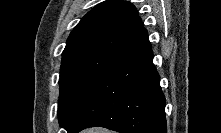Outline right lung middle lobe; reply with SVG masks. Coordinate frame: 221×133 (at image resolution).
I'll list each match as a JSON object with an SVG mask.
<instances>
[{
  "instance_id": "obj_1",
  "label": "right lung middle lobe",
  "mask_w": 221,
  "mask_h": 133,
  "mask_svg": "<svg viewBox=\"0 0 221 133\" xmlns=\"http://www.w3.org/2000/svg\"><path fill=\"white\" fill-rule=\"evenodd\" d=\"M103 69L65 70L60 72L58 117L61 127L68 130L75 115Z\"/></svg>"
}]
</instances>
